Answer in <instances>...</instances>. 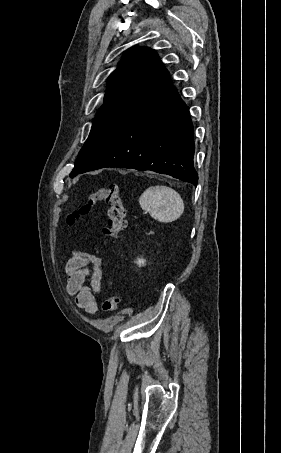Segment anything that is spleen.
<instances>
[{
  "mask_svg": "<svg viewBox=\"0 0 281 453\" xmlns=\"http://www.w3.org/2000/svg\"><path fill=\"white\" fill-rule=\"evenodd\" d=\"M140 206L160 222H172L181 216L184 202L169 186H149L139 198Z\"/></svg>",
  "mask_w": 281,
  "mask_h": 453,
  "instance_id": "3e777b00",
  "label": "spleen"
}]
</instances>
